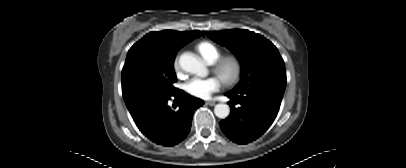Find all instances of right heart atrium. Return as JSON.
Instances as JSON below:
<instances>
[{
    "mask_svg": "<svg viewBox=\"0 0 406 168\" xmlns=\"http://www.w3.org/2000/svg\"><path fill=\"white\" fill-rule=\"evenodd\" d=\"M173 66H174V70H175L177 73H179L181 67H180V62H179V57H178V56L175 57L174 62H173Z\"/></svg>",
    "mask_w": 406,
    "mask_h": 168,
    "instance_id": "obj_1",
    "label": "right heart atrium"
}]
</instances>
